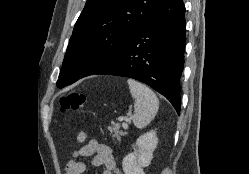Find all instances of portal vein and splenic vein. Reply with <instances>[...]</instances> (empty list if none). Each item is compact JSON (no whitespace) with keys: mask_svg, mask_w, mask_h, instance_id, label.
Returning a JSON list of instances; mask_svg holds the SVG:
<instances>
[{"mask_svg":"<svg viewBox=\"0 0 249 174\" xmlns=\"http://www.w3.org/2000/svg\"><path fill=\"white\" fill-rule=\"evenodd\" d=\"M119 121L123 122L122 126H123L124 129H128V124H127V122L129 121L128 117H124V116L119 117Z\"/></svg>","mask_w":249,"mask_h":174,"instance_id":"obj_1","label":"portal vein and splenic vein"}]
</instances>
